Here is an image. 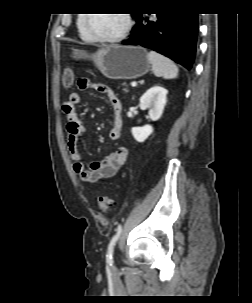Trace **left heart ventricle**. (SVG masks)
Here are the masks:
<instances>
[{"mask_svg": "<svg viewBox=\"0 0 252 303\" xmlns=\"http://www.w3.org/2000/svg\"><path fill=\"white\" fill-rule=\"evenodd\" d=\"M88 29L91 33L111 36L123 30L126 24L124 14H91Z\"/></svg>", "mask_w": 252, "mask_h": 303, "instance_id": "1", "label": "left heart ventricle"}]
</instances>
